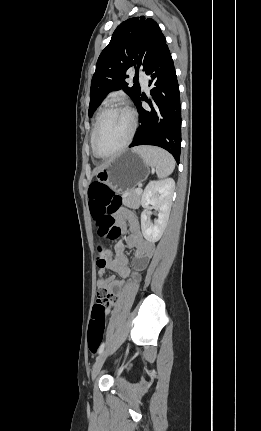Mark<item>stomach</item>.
<instances>
[{
    "label": "stomach",
    "mask_w": 261,
    "mask_h": 431,
    "mask_svg": "<svg viewBox=\"0 0 261 431\" xmlns=\"http://www.w3.org/2000/svg\"><path fill=\"white\" fill-rule=\"evenodd\" d=\"M149 174V165L133 149L126 150L100 169L96 178L111 189L122 192L133 190Z\"/></svg>",
    "instance_id": "1"
}]
</instances>
